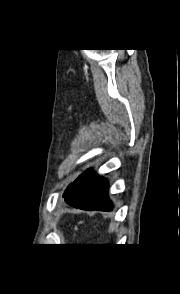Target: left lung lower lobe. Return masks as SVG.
I'll use <instances>...</instances> for the list:
<instances>
[{
    "instance_id": "0a47b994",
    "label": "left lung lower lobe",
    "mask_w": 180,
    "mask_h": 294,
    "mask_svg": "<svg viewBox=\"0 0 180 294\" xmlns=\"http://www.w3.org/2000/svg\"><path fill=\"white\" fill-rule=\"evenodd\" d=\"M108 181L87 169L72 184L65 196V201L83 210L110 211V201L107 198Z\"/></svg>"
}]
</instances>
